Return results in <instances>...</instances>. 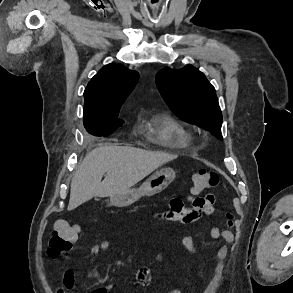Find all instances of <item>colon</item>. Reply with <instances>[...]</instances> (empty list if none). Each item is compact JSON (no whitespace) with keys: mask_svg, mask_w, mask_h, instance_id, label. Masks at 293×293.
Wrapping results in <instances>:
<instances>
[{"mask_svg":"<svg viewBox=\"0 0 293 293\" xmlns=\"http://www.w3.org/2000/svg\"><path fill=\"white\" fill-rule=\"evenodd\" d=\"M220 183V174L215 171L201 169L192 176V194L196 195L207 189L214 188ZM194 204L200 203L197 197H194ZM233 217L229 216V225H232ZM79 229L74 224L65 220H57L54 223L52 236L47 246V254L51 258H57L67 255L76 241Z\"/></svg>","mask_w":293,"mask_h":293,"instance_id":"colon-1","label":"colon"}]
</instances>
